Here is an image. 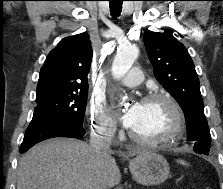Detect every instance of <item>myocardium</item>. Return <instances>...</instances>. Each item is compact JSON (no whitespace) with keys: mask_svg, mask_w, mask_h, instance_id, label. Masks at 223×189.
<instances>
[{"mask_svg":"<svg viewBox=\"0 0 223 189\" xmlns=\"http://www.w3.org/2000/svg\"><path fill=\"white\" fill-rule=\"evenodd\" d=\"M142 101L143 102H150V101L165 102L168 105L172 114V125L164 133L157 136H152V137L141 136L131 130L129 131V137L131 139L142 144H158V143L172 140L178 137L182 133L184 129L185 116H184L181 106L172 95L166 92H153L146 95Z\"/></svg>","mask_w":223,"mask_h":189,"instance_id":"1","label":"myocardium"}]
</instances>
